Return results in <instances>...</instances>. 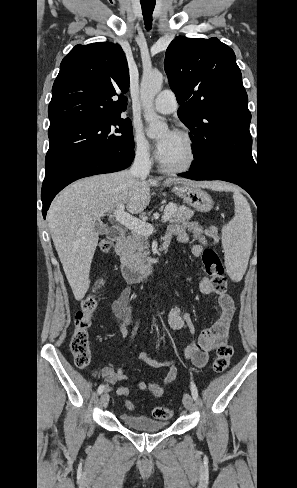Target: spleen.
<instances>
[{"label": "spleen", "instance_id": "1", "mask_svg": "<svg viewBox=\"0 0 297 488\" xmlns=\"http://www.w3.org/2000/svg\"><path fill=\"white\" fill-rule=\"evenodd\" d=\"M233 198L235 215L222 229V245L227 273L238 282L246 271L252 249V214L242 194L235 191Z\"/></svg>", "mask_w": 297, "mask_h": 488}]
</instances>
